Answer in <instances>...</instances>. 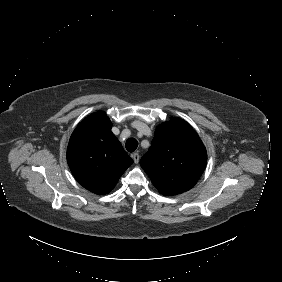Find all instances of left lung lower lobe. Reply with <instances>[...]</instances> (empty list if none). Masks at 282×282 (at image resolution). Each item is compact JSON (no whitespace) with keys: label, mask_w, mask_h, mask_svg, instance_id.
I'll list each match as a JSON object with an SVG mask.
<instances>
[{"label":"left lung lower lobe","mask_w":282,"mask_h":282,"mask_svg":"<svg viewBox=\"0 0 282 282\" xmlns=\"http://www.w3.org/2000/svg\"><path fill=\"white\" fill-rule=\"evenodd\" d=\"M163 195L170 196V195H168V194H163Z\"/></svg>","instance_id":"left-lung-lower-lobe-1"}]
</instances>
